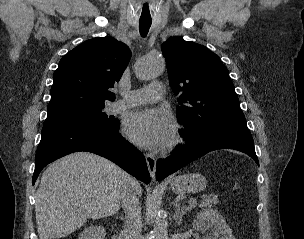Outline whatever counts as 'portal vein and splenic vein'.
I'll return each mask as SVG.
<instances>
[{"label":"portal vein and splenic vein","instance_id":"1","mask_svg":"<svg viewBox=\"0 0 304 239\" xmlns=\"http://www.w3.org/2000/svg\"><path fill=\"white\" fill-rule=\"evenodd\" d=\"M197 205V200L193 199L190 206L191 208L195 207Z\"/></svg>","mask_w":304,"mask_h":239}]
</instances>
